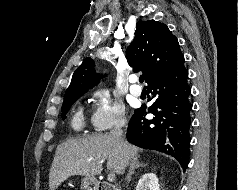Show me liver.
<instances>
[{
	"mask_svg": "<svg viewBox=\"0 0 238 190\" xmlns=\"http://www.w3.org/2000/svg\"><path fill=\"white\" fill-rule=\"evenodd\" d=\"M138 150L124 139L120 147L111 134L69 139L56 149L49 173V188L55 190L75 175L94 178L102 172L105 160L109 171L122 174L129 161L137 157Z\"/></svg>",
	"mask_w": 238,
	"mask_h": 190,
	"instance_id": "6515ba94",
	"label": "liver"
}]
</instances>
